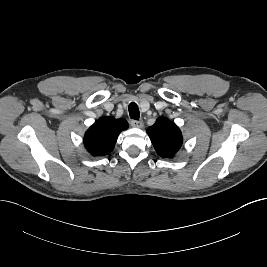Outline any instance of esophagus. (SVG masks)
<instances>
[{
    "label": "esophagus",
    "mask_w": 267,
    "mask_h": 267,
    "mask_svg": "<svg viewBox=\"0 0 267 267\" xmlns=\"http://www.w3.org/2000/svg\"><path fill=\"white\" fill-rule=\"evenodd\" d=\"M130 124L132 127H136V128H142L143 127V121L142 120H131Z\"/></svg>",
    "instance_id": "esophagus-1"
}]
</instances>
